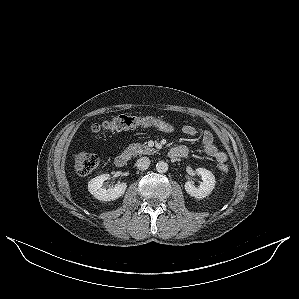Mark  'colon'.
I'll return each instance as SVG.
<instances>
[{
	"instance_id": "5ec220e1",
	"label": "colon",
	"mask_w": 299,
	"mask_h": 299,
	"mask_svg": "<svg viewBox=\"0 0 299 299\" xmlns=\"http://www.w3.org/2000/svg\"><path fill=\"white\" fill-rule=\"evenodd\" d=\"M136 127H153L168 134L174 133L176 130L173 124L161 118L118 115L111 120L92 125L91 131L97 134L102 131H121ZM72 163L75 173L79 176H85L96 169L99 164V158L92 153L80 152L73 156ZM218 167L222 172L228 171V166L225 164H220Z\"/></svg>"
}]
</instances>
